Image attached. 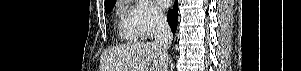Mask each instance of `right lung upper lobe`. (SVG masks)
Listing matches in <instances>:
<instances>
[{
	"label": "right lung upper lobe",
	"instance_id": "cb5924a9",
	"mask_svg": "<svg viewBox=\"0 0 301 71\" xmlns=\"http://www.w3.org/2000/svg\"><path fill=\"white\" fill-rule=\"evenodd\" d=\"M112 1H114V0H105V4H108V3L112 2Z\"/></svg>",
	"mask_w": 301,
	"mask_h": 71
}]
</instances>
